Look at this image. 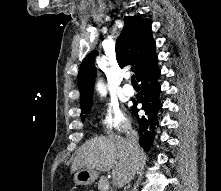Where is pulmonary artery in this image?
Instances as JSON below:
<instances>
[{
    "mask_svg": "<svg viewBox=\"0 0 221 191\" xmlns=\"http://www.w3.org/2000/svg\"><path fill=\"white\" fill-rule=\"evenodd\" d=\"M134 88L130 84H125L123 87V93L127 97H131L134 95Z\"/></svg>",
    "mask_w": 221,
    "mask_h": 191,
    "instance_id": "1",
    "label": "pulmonary artery"
}]
</instances>
